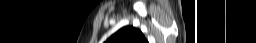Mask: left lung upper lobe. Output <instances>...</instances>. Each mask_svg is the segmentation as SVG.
Returning a JSON list of instances; mask_svg holds the SVG:
<instances>
[{"instance_id":"obj_1","label":"left lung upper lobe","mask_w":256,"mask_h":43,"mask_svg":"<svg viewBox=\"0 0 256 43\" xmlns=\"http://www.w3.org/2000/svg\"><path fill=\"white\" fill-rule=\"evenodd\" d=\"M106 43H148L142 32L134 27H124L113 34Z\"/></svg>"}]
</instances>
